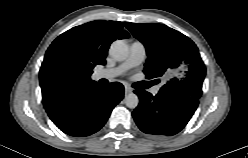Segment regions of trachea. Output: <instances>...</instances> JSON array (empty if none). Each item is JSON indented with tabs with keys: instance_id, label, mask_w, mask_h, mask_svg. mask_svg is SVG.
Here are the masks:
<instances>
[{
	"instance_id": "3493384b",
	"label": "trachea",
	"mask_w": 248,
	"mask_h": 158,
	"mask_svg": "<svg viewBox=\"0 0 248 158\" xmlns=\"http://www.w3.org/2000/svg\"><path fill=\"white\" fill-rule=\"evenodd\" d=\"M150 86H152L151 82H141L140 89H146Z\"/></svg>"
}]
</instances>
